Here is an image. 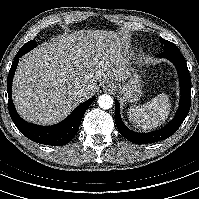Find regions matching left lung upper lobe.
Wrapping results in <instances>:
<instances>
[{
    "label": "left lung upper lobe",
    "instance_id": "obj_1",
    "mask_svg": "<svg viewBox=\"0 0 199 199\" xmlns=\"http://www.w3.org/2000/svg\"><path fill=\"white\" fill-rule=\"evenodd\" d=\"M161 43L164 44L163 50L178 49L176 45H174L172 42H169L165 39H161Z\"/></svg>",
    "mask_w": 199,
    "mask_h": 199
}]
</instances>
